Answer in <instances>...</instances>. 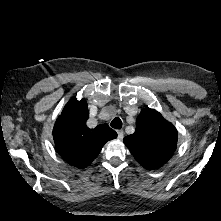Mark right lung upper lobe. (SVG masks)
Segmentation results:
<instances>
[{
  "instance_id": "right-lung-upper-lobe-1",
  "label": "right lung upper lobe",
  "mask_w": 221,
  "mask_h": 221,
  "mask_svg": "<svg viewBox=\"0 0 221 221\" xmlns=\"http://www.w3.org/2000/svg\"><path fill=\"white\" fill-rule=\"evenodd\" d=\"M89 110L85 99L70 100L57 118L53 129L56 148L70 165L84 168L99 154L103 145L117 137L107 124L94 129L86 126Z\"/></svg>"
}]
</instances>
